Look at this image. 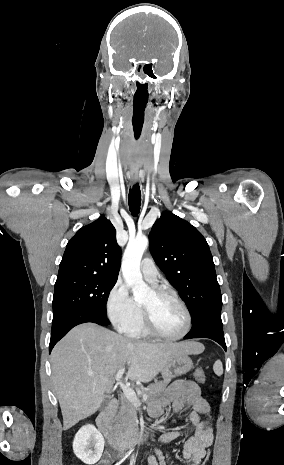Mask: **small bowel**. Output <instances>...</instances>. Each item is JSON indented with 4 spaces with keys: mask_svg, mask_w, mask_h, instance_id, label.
<instances>
[{
    "mask_svg": "<svg viewBox=\"0 0 284 465\" xmlns=\"http://www.w3.org/2000/svg\"><path fill=\"white\" fill-rule=\"evenodd\" d=\"M169 408L170 416L186 415L189 423L194 427L193 434L188 437L182 449V458L186 465H200L206 449L213 443V427L211 422V408L201 395L197 383L190 380H177L170 384L164 394L149 408L152 419L161 418L164 411ZM179 429L163 433L159 442L168 444L180 437ZM154 455L149 456L148 465H165L164 454L159 447H153ZM112 455L106 453L99 465H109ZM159 460V461H158Z\"/></svg>",
    "mask_w": 284,
    "mask_h": 465,
    "instance_id": "c3829d8e",
    "label": "small bowel"
}]
</instances>
